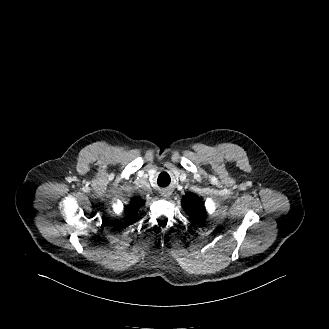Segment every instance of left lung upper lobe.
Listing matches in <instances>:
<instances>
[{"mask_svg": "<svg viewBox=\"0 0 329 329\" xmlns=\"http://www.w3.org/2000/svg\"><path fill=\"white\" fill-rule=\"evenodd\" d=\"M182 205L196 224H201L205 217V207L201 199L194 194H187L182 199Z\"/></svg>", "mask_w": 329, "mask_h": 329, "instance_id": "obj_1", "label": "left lung upper lobe"}]
</instances>
